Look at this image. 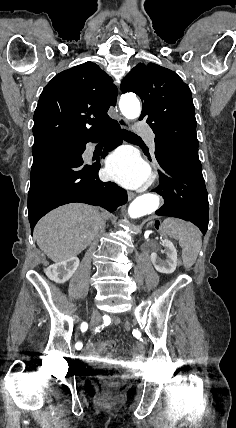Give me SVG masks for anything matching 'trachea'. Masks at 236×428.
<instances>
[{"instance_id":"3493384b","label":"trachea","mask_w":236,"mask_h":428,"mask_svg":"<svg viewBox=\"0 0 236 428\" xmlns=\"http://www.w3.org/2000/svg\"><path fill=\"white\" fill-rule=\"evenodd\" d=\"M123 138L125 140H130V139H140V137H138V135H136L133 132L127 131V130H123Z\"/></svg>"}]
</instances>
